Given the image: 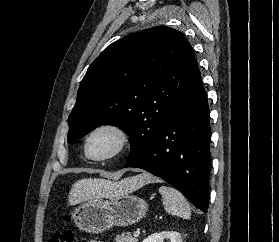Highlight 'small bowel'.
Listing matches in <instances>:
<instances>
[{"instance_id":"1","label":"small bowel","mask_w":279,"mask_h":242,"mask_svg":"<svg viewBox=\"0 0 279 242\" xmlns=\"http://www.w3.org/2000/svg\"><path fill=\"white\" fill-rule=\"evenodd\" d=\"M88 242H103V241L91 240V241H88Z\"/></svg>"}]
</instances>
